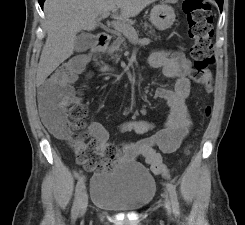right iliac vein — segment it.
<instances>
[{
	"label": "right iliac vein",
	"instance_id": "1",
	"mask_svg": "<svg viewBox=\"0 0 245 225\" xmlns=\"http://www.w3.org/2000/svg\"><path fill=\"white\" fill-rule=\"evenodd\" d=\"M88 206V194L85 187L82 189L80 203H79V215H84Z\"/></svg>",
	"mask_w": 245,
	"mask_h": 225
}]
</instances>
